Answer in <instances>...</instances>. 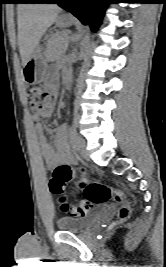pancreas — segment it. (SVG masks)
<instances>
[{"label": "pancreas", "mask_w": 166, "mask_h": 267, "mask_svg": "<svg viewBox=\"0 0 166 267\" xmlns=\"http://www.w3.org/2000/svg\"><path fill=\"white\" fill-rule=\"evenodd\" d=\"M67 37L62 33L53 34L47 43V49L44 53L46 60L51 61L57 58L67 46Z\"/></svg>", "instance_id": "1"}]
</instances>
